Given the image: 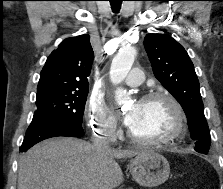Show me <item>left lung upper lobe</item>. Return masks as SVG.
I'll use <instances>...</instances> for the list:
<instances>
[{
	"label": "left lung upper lobe",
	"instance_id": "obj_1",
	"mask_svg": "<svg viewBox=\"0 0 223 189\" xmlns=\"http://www.w3.org/2000/svg\"><path fill=\"white\" fill-rule=\"evenodd\" d=\"M144 47L155 77L181 104L186 114L191 137L196 140L194 149L207 154L210 132L199 81L188 53L172 37L160 34L146 35Z\"/></svg>",
	"mask_w": 223,
	"mask_h": 189
}]
</instances>
